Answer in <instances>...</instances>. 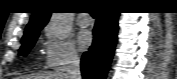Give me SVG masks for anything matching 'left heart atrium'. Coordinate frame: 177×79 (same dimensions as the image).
<instances>
[{"mask_svg": "<svg viewBox=\"0 0 177 79\" xmlns=\"http://www.w3.org/2000/svg\"><path fill=\"white\" fill-rule=\"evenodd\" d=\"M77 42L81 50L88 49L92 45V42H93L92 33L88 30L80 31L77 36Z\"/></svg>", "mask_w": 177, "mask_h": 79, "instance_id": "obj_1", "label": "left heart atrium"}]
</instances>
